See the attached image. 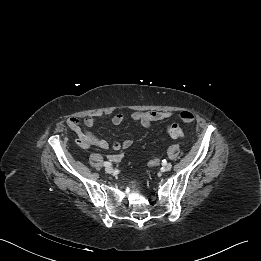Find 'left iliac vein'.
I'll use <instances>...</instances> for the list:
<instances>
[{
    "label": "left iliac vein",
    "instance_id": "1",
    "mask_svg": "<svg viewBox=\"0 0 261 261\" xmlns=\"http://www.w3.org/2000/svg\"><path fill=\"white\" fill-rule=\"evenodd\" d=\"M171 168H172L171 163H167V164L164 165L163 170H164V171H170Z\"/></svg>",
    "mask_w": 261,
    "mask_h": 261
}]
</instances>
